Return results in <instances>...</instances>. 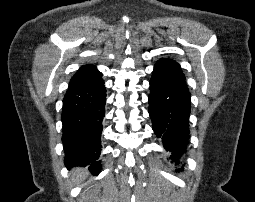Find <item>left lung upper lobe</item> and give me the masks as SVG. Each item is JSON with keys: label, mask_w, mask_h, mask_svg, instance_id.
Returning <instances> with one entry per match:
<instances>
[{"label": "left lung upper lobe", "mask_w": 255, "mask_h": 202, "mask_svg": "<svg viewBox=\"0 0 255 202\" xmlns=\"http://www.w3.org/2000/svg\"><path fill=\"white\" fill-rule=\"evenodd\" d=\"M154 73H161L168 76L171 80L185 84V75L182 73L180 66L173 60L161 59L154 67Z\"/></svg>", "instance_id": "5c2ea615"}]
</instances>
